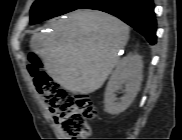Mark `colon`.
Returning a JSON list of instances; mask_svg holds the SVG:
<instances>
[{"label":"colon","mask_w":182,"mask_h":140,"mask_svg":"<svg viewBox=\"0 0 182 140\" xmlns=\"http://www.w3.org/2000/svg\"><path fill=\"white\" fill-rule=\"evenodd\" d=\"M34 85L55 114L63 132L84 137L90 133L89 121L97 116V108L86 95H71L62 90L40 69L37 59L28 66Z\"/></svg>","instance_id":"1"}]
</instances>
